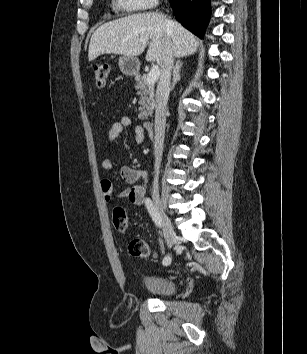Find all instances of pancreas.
Instances as JSON below:
<instances>
[{"label":"pancreas","mask_w":307,"mask_h":354,"mask_svg":"<svg viewBox=\"0 0 307 354\" xmlns=\"http://www.w3.org/2000/svg\"><path fill=\"white\" fill-rule=\"evenodd\" d=\"M135 89L140 96L139 119H146L152 115L155 107L154 84L147 83V75H138L135 77Z\"/></svg>","instance_id":"obj_1"}]
</instances>
